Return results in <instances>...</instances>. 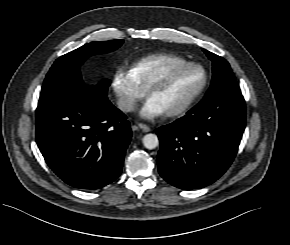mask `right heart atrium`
<instances>
[{
	"mask_svg": "<svg viewBox=\"0 0 290 245\" xmlns=\"http://www.w3.org/2000/svg\"><path fill=\"white\" fill-rule=\"evenodd\" d=\"M112 88L117 105L123 112H131L145 95V90L136 82L131 70L119 68L113 75Z\"/></svg>",
	"mask_w": 290,
	"mask_h": 245,
	"instance_id": "right-heart-atrium-1",
	"label": "right heart atrium"
}]
</instances>
